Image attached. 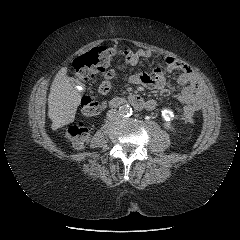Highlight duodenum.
<instances>
[{
    "label": "duodenum",
    "mask_w": 240,
    "mask_h": 240,
    "mask_svg": "<svg viewBox=\"0 0 240 240\" xmlns=\"http://www.w3.org/2000/svg\"><path fill=\"white\" fill-rule=\"evenodd\" d=\"M125 103H129L138 110L146 108V103L144 102V100L140 96L135 94H131L126 97H116L110 101V106L118 107Z\"/></svg>",
    "instance_id": "1"
}]
</instances>
